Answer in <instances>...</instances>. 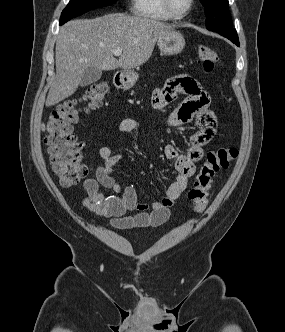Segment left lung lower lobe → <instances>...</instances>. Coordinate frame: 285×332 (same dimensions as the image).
<instances>
[{
  "mask_svg": "<svg viewBox=\"0 0 285 332\" xmlns=\"http://www.w3.org/2000/svg\"><path fill=\"white\" fill-rule=\"evenodd\" d=\"M224 36V35H223ZM228 39H230L234 44H236L237 46H239V40H238V36H226Z\"/></svg>",
  "mask_w": 285,
  "mask_h": 332,
  "instance_id": "obj_1",
  "label": "left lung lower lobe"
}]
</instances>
